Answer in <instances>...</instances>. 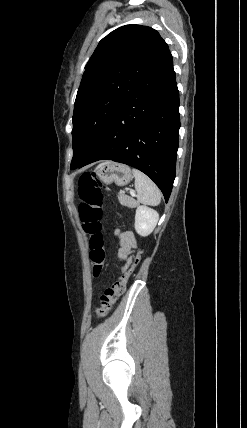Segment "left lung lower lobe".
<instances>
[{
    "mask_svg": "<svg viewBox=\"0 0 247 428\" xmlns=\"http://www.w3.org/2000/svg\"><path fill=\"white\" fill-rule=\"evenodd\" d=\"M180 128L179 92L172 58L152 79L126 97L85 160H113L148 175L167 202L173 187Z\"/></svg>",
    "mask_w": 247,
    "mask_h": 428,
    "instance_id": "left-lung-lower-lobe-1",
    "label": "left lung lower lobe"
}]
</instances>
